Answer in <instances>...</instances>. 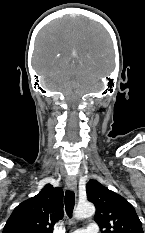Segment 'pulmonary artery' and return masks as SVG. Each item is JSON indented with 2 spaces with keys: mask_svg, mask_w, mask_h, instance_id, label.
<instances>
[{
  "mask_svg": "<svg viewBox=\"0 0 145 233\" xmlns=\"http://www.w3.org/2000/svg\"><path fill=\"white\" fill-rule=\"evenodd\" d=\"M73 233H99V228L96 223H89L87 228L75 230Z\"/></svg>",
  "mask_w": 145,
  "mask_h": 233,
  "instance_id": "1",
  "label": "pulmonary artery"
}]
</instances>
